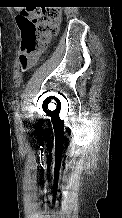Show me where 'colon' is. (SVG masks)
<instances>
[{
  "label": "colon",
  "mask_w": 122,
  "mask_h": 218,
  "mask_svg": "<svg viewBox=\"0 0 122 218\" xmlns=\"http://www.w3.org/2000/svg\"><path fill=\"white\" fill-rule=\"evenodd\" d=\"M18 22L22 32L21 65L28 71L37 60L40 50L57 34L61 22V11L57 7H34L23 9Z\"/></svg>",
  "instance_id": "5ec220e1"
}]
</instances>
